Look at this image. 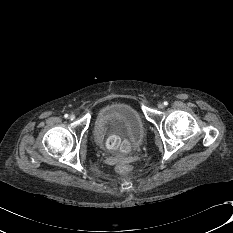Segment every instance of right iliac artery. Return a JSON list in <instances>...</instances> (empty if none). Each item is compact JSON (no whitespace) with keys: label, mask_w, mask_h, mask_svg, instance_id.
Segmentation results:
<instances>
[{"label":"right iliac artery","mask_w":233,"mask_h":233,"mask_svg":"<svg viewBox=\"0 0 233 233\" xmlns=\"http://www.w3.org/2000/svg\"><path fill=\"white\" fill-rule=\"evenodd\" d=\"M64 117H65V118H68V114H65Z\"/></svg>","instance_id":"right-iliac-artery-1"}]
</instances>
